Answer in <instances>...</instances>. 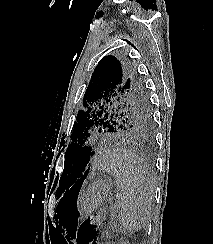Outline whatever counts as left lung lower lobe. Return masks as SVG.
Returning a JSON list of instances; mask_svg holds the SVG:
<instances>
[{
	"label": "left lung lower lobe",
	"instance_id": "left-lung-lower-lobe-1",
	"mask_svg": "<svg viewBox=\"0 0 213 244\" xmlns=\"http://www.w3.org/2000/svg\"><path fill=\"white\" fill-rule=\"evenodd\" d=\"M90 155L92 156L93 154L92 153L90 154L89 152L86 153V155H85V157L83 159V163H82V172L79 175V178L77 179V181L75 182V184L73 186L78 185L80 187L82 185L84 179L86 178L89 168L85 169V167H86V165L89 162Z\"/></svg>",
	"mask_w": 213,
	"mask_h": 244
}]
</instances>
